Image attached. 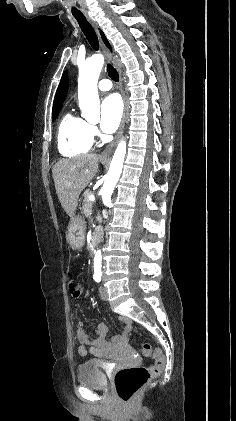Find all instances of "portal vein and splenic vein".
<instances>
[{"instance_id": "obj_1", "label": "portal vein and splenic vein", "mask_w": 236, "mask_h": 421, "mask_svg": "<svg viewBox=\"0 0 236 421\" xmlns=\"http://www.w3.org/2000/svg\"><path fill=\"white\" fill-rule=\"evenodd\" d=\"M88 198H89V200H95L94 194H89Z\"/></svg>"}]
</instances>
